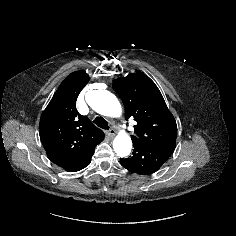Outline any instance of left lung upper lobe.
I'll return each mask as SVG.
<instances>
[{
  "mask_svg": "<svg viewBox=\"0 0 236 236\" xmlns=\"http://www.w3.org/2000/svg\"><path fill=\"white\" fill-rule=\"evenodd\" d=\"M113 89L120 96L125 107V118L136 121L137 144L175 145L176 121L169 111L156 84L145 74L133 73L113 81Z\"/></svg>",
  "mask_w": 236,
  "mask_h": 236,
  "instance_id": "obj_1",
  "label": "left lung upper lobe"
}]
</instances>
